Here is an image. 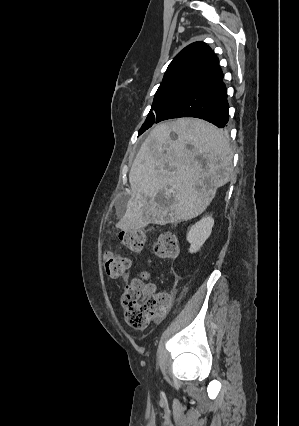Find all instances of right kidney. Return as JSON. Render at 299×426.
Here are the masks:
<instances>
[{"label": "right kidney", "mask_w": 299, "mask_h": 426, "mask_svg": "<svg viewBox=\"0 0 299 426\" xmlns=\"http://www.w3.org/2000/svg\"><path fill=\"white\" fill-rule=\"evenodd\" d=\"M213 225L214 219L211 216H207L191 226L187 233V241L190 243V253H195L202 247L209 238Z\"/></svg>", "instance_id": "right-kidney-1"}]
</instances>
